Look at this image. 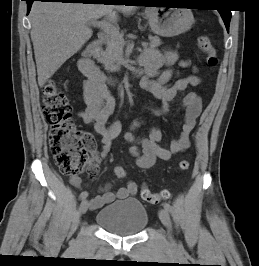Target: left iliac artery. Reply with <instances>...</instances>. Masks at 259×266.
Returning <instances> with one entry per match:
<instances>
[{
  "instance_id": "1",
  "label": "left iliac artery",
  "mask_w": 259,
  "mask_h": 266,
  "mask_svg": "<svg viewBox=\"0 0 259 266\" xmlns=\"http://www.w3.org/2000/svg\"><path fill=\"white\" fill-rule=\"evenodd\" d=\"M163 207L167 212L172 213V207L169 203L164 202Z\"/></svg>"
}]
</instances>
